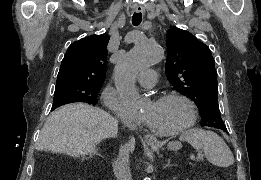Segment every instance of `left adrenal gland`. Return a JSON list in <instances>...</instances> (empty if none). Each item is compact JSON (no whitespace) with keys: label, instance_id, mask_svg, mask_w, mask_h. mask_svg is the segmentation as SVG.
Returning <instances> with one entry per match:
<instances>
[{"label":"left adrenal gland","instance_id":"obj_1","mask_svg":"<svg viewBox=\"0 0 261 180\" xmlns=\"http://www.w3.org/2000/svg\"><path fill=\"white\" fill-rule=\"evenodd\" d=\"M169 166H173V164H171V158L167 160V164H165L164 168H169Z\"/></svg>","mask_w":261,"mask_h":180}]
</instances>
